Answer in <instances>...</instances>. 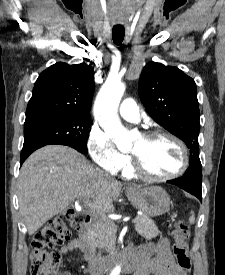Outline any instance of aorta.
I'll use <instances>...</instances> for the list:
<instances>
[{
	"instance_id": "aorta-1",
	"label": "aorta",
	"mask_w": 225,
	"mask_h": 275,
	"mask_svg": "<svg viewBox=\"0 0 225 275\" xmlns=\"http://www.w3.org/2000/svg\"><path fill=\"white\" fill-rule=\"evenodd\" d=\"M125 85L118 80L107 79L101 87L94 104V115L102 129L122 150L132 146L133 137L122 125L117 111L124 94ZM121 267L117 266L111 275H120Z\"/></svg>"
}]
</instances>
